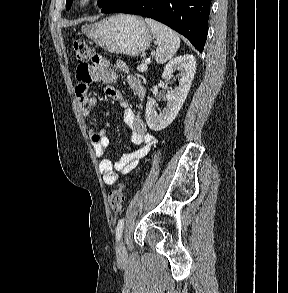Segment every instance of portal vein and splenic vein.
I'll return each mask as SVG.
<instances>
[{"label":"portal vein and splenic vein","mask_w":288,"mask_h":293,"mask_svg":"<svg viewBox=\"0 0 288 293\" xmlns=\"http://www.w3.org/2000/svg\"><path fill=\"white\" fill-rule=\"evenodd\" d=\"M150 62V59H146L145 63L141 64L140 66H138V70L141 72H144L147 70V64Z\"/></svg>","instance_id":"obj_1"}]
</instances>
